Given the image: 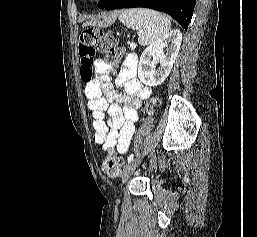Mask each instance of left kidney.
Instances as JSON below:
<instances>
[{
	"instance_id": "left-kidney-1",
	"label": "left kidney",
	"mask_w": 257,
	"mask_h": 237,
	"mask_svg": "<svg viewBox=\"0 0 257 237\" xmlns=\"http://www.w3.org/2000/svg\"><path fill=\"white\" fill-rule=\"evenodd\" d=\"M181 41L182 33L173 30L143 51L138 65V77L143 84L152 87L165 81L178 56ZM165 48L166 54L163 51ZM158 63L160 68L156 70Z\"/></svg>"
}]
</instances>
